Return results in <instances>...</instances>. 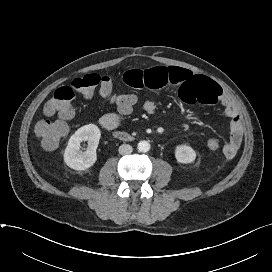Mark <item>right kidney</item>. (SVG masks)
<instances>
[{
  "instance_id": "1",
  "label": "right kidney",
  "mask_w": 272,
  "mask_h": 272,
  "mask_svg": "<svg viewBox=\"0 0 272 272\" xmlns=\"http://www.w3.org/2000/svg\"><path fill=\"white\" fill-rule=\"evenodd\" d=\"M101 132L95 124L84 125L69 139L64 152V162L70 168L82 171L90 168L97 160L96 149L99 144ZM87 141L86 151H81V143Z\"/></svg>"
}]
</instances>
